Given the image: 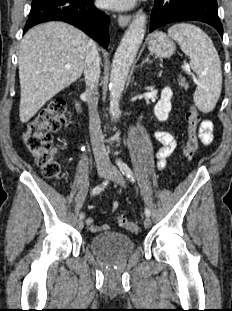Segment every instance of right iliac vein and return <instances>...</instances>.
Segmentation results:
<instances>
[{
  "instance_id": "63e3f726",
  "label": "right iliac vein",
  "mask_w": 232,
  "mask_h": 311,
  "mask_svg": "<svg viewBox=\"0 0 232 311\" xmlns=\"http://www.w3.org/2000/svg\"><path fill=\"white\" fill-rule=\"evenodd\" d=\"M108 172H109V169L106 167H102L98 169V175L100 178L106 177ZM77 225L79 229H82L84 226V221L82 219H79L77 222Z\"/></svg>"
}]
</instances>
